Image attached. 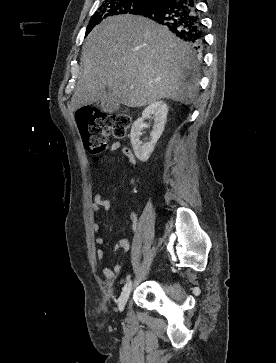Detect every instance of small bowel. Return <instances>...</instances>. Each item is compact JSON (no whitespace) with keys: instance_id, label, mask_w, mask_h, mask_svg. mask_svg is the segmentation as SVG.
<instances>
[{"instance_id":"obj_1","label":"small bowel","mask_w":276,"mask_h":363,"mask_svg":"<svg viewBox=\"0 0 276 363\" xmlns=\"http://www.w3.org/2000/svg\"><path fill=\"white\" fill-rule=\"evenodd\" d=\"M121 151V153L128 159V161L135 166L136 165V158L134 156V154L132 153V151L125 146H122L121 143L119 141L113 142L109 149L108 152H114V151ZM102 158H99L98 161H100ZM110 208V202L105 199L102 195L101 192H97L94 196L93 202L90 206V210L91 212L97 213L99 211H107ZM91 228L93 230V232L97 233L100 230V226L97 222H95L92 219V223H91ZM137 229V215L135 212H132L130 214V230L132 233H134ZM105 242L104 238L101 236H98L95 238V243L97 245H103ZM130 249V242L128 239L126 238H122L119 241H117V243L114 245L113 250L117 251V250H123L125 252L129 251ZM96 258L97 260L100 262V264L102 265V273L104 275V277L106 278V280L108 282H112L116 275L120 274L123 271V266L121 264H115L113 268H110L106 262H105V252L102 248H98L96 250Z\"/></svg>"}]
</instances>
